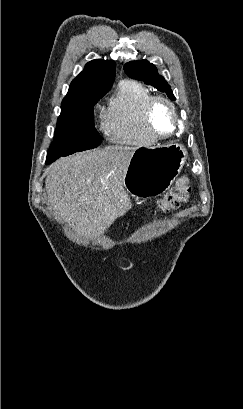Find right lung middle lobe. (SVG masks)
I'll use <instances>...</instances> for the list:
<instances>
[{
	"label": "right lung middle lobe",
	"mask_w": 243,
	"mask_h": 409,
	"mask_svg": "<svg viewBox=\"0 0 243 409\" xmlns=\"http://www.w3.org/2000/svg\"><path fill=\"white\" fill-rule=\"evenodd\" d=\"M95 104L61 106L54 141L48 150L47 157L67 156L100 145L101 138L93 121Z\"/></svg>",
	"instance_id": "obj_1"
}]
</instances>
